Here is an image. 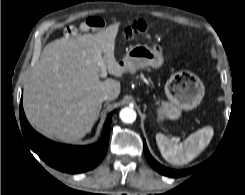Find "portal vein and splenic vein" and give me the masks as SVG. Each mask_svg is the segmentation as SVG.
<instances>
[{
  "mask_svg": "<svg viewBox=\"0 0 245 195\" xmlns=\"http://www.w3.org/2000/svg\"><path fill=\"white\" fill-rule=\"evenodd\" d=\"M107 76V70H106V67L105 66H102L101 67V74H100V77L104 78Z\"/></svg>",
  "mask_w": 245,
  "mask_h": 195,
  "instance_id": "portal-vein-and-splenic-vein-1",
  "label": "portal vein and splenic vein"
}]
</instances>
